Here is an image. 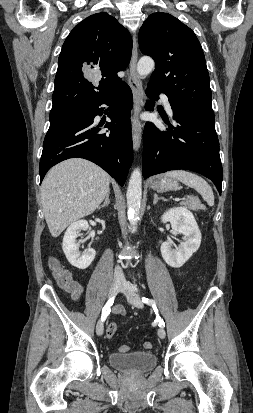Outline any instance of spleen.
<instances>
[{
  "mask_svg": "<svg viewBox=\"0 0 253 413\" xmlns=\"http://www.w3.org/2000/svg\"><path fill=\"white\" fill-rule=\"evenodd\" d=\"M168 177L176 178L183 184L194 188L209 206L214 205V194L210 185L200 176L185 170H173L167 173Z\"/></svg>",
  "mask_w": 253,
  "mask_h": 413,
  "instance_id": "1",
  "label": "spleen"
}]
</instances>
